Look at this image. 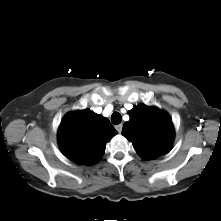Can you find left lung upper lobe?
<instances>
[{"label": "left lung upper lobe", "mask_w": 221, "mask_h": 221, "mask_svg": "<svg viewBox=\"0 0 221 221\" xmlns=\"http://www.w3.org/2000/svg\"><path fill=\"white\" fill-rule=\"evenodd\" d=\"M122 135L133 143L141 158L153 160L171 149L174 127L167 113L144 104L134 106L128 112Z\"/></svg>", "instance_id": "left-lung-upper-lobe-1"}]
</instances>
